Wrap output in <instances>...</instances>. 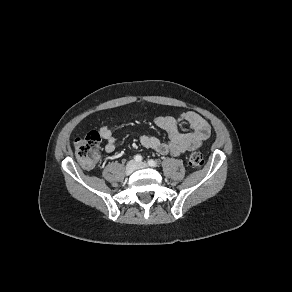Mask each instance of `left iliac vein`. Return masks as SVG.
<instances>
[{
	"mask_svg": "<svg viewBox=\"0 0 292 292\" xmlns=\"http://www.w3.org/2000/svg\"><path fill=\"white\" fill-rule=\"evenodd\" d=\"M147 166H148V164L146 162H140L136 165V168H145Z\"/></svg>",
	"mask_w": 292,
	"mask_h": 292,
	"instance_id": "1",
	"label": "left iliac vein"
}]
</instances>
